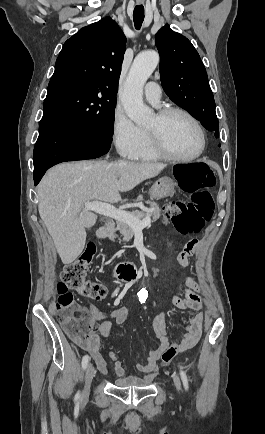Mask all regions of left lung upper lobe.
Here are the masks:
<instances>
[{
	"label": "left lung upper lobe",
	"instance_id": "5c2ea615",
	"mask_svg": "<svg viewBox=\"0 0 265 434\" xmlns=\"http://www.w3.org/2000/svg\"><path fill=\"white\" fill-rule=\"evenodd\" d=\"M160 54V79L169 98L219 136L215 101L205 67L191 42L168 25L155 36Z\"/></svg>",
	"mask_w": 265,
	"mask_h": 434
}]
</instances>
